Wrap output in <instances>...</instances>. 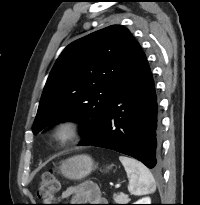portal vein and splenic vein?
Wrapping results in <instances>:
<instances>
[{"mask_svg": "<svg viewBox=\"0 0 200 205\" xmlns=\"http://www.w3.org/2000/svg\"><path fill=\"white\" fill-rule=\"evenodd\" d=\"M120 185H121L120 183H119V184H116V186H115V187H116V188H118V187H120Z\"/></svg>", "mask_w": 200, "mask_h": 205, "instance_id": "1", "label": "portal vein and splenic vein"}]
</instances>
